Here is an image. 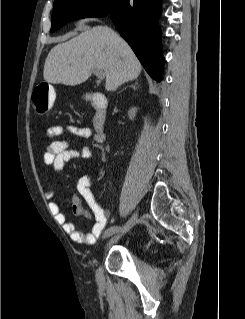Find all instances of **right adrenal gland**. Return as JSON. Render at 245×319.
<instances>
[{
	"label": "right adrenal gland",
	"mask_w": 245,
	"mask_h": 319,
	"mask_svg": "<svg viewBox=\"0 0 245 319\" xmlns=\"http://www.w3.org/2000/svg\"><path fill=\"white\" fill-rule=\"evenodd\" d=\"M137 85H138V82L136 81L133 85H130L129 87H131L134 90H136L137 89Z\"/></svg>",
	"instance_id": "1"
}]
</instances>
